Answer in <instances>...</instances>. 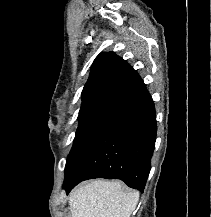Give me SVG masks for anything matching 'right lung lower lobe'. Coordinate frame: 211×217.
Listing matches in <instances>:
<instances>
[{"label":"right lung lower lobe","instance_id":"98d812e1","mask_svg":"<svg viewBox=\"0 0 211 217\" xmlns=\"http://www.w3.org/2000/svg\"><path fill=\"white\" fill-rule=\"evenodd\" d=\"M157 122L148 94L116 117L65 177L66 192L81 181L120 179L143 192L155 149Z\"/></svg>","mask_w":211,"mask_h":217}]
</instances>
